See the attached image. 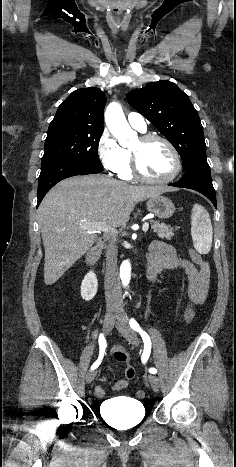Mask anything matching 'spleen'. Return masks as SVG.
Here are the masks:
<instances>
[{
	"label": "spleen",
	"mask_w": 236,
	"mask_h": 467,
	"mask_svg": "<svg viewBox=\"0 0 236 467\" xmlns=\"http://www.w3.org/2000/svg\"><path fill=\"white\" fill-rule=\"evenodd\" d=\"M191 236L194 248L200 254L211 250L213 228L208 212L199 204H195L191 214Z\"/></svg>",
	"instance_id": "obj_1"
}]
</instances>
